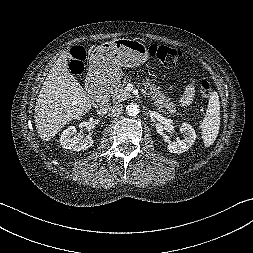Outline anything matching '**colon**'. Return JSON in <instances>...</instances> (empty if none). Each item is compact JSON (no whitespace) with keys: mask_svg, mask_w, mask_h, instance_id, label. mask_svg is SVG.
I'll use <instances>...</instances> for the list:
<instances>
[{"mask_svg":"<svg viewBox=\"0 0 253 253\" xmlns=\"http://www.w3.org/2000/svg\"><path fill=\"white\" fill-rule=\"evenodd\" d=\"M86 55L87 53L84 47L77 45L72 48L69 68L73 74L80 75L83 73ZM149 55L157 59L163 65L172 67L178 64L182 53L180 50L169 46L152 44L149 47ZM199 93L203 98L210 97L212 94V87L208 81L202 80L200 82Z\"/></svg>","mask_w":253,"mask_h":253,"instance_id":"5ec220e1","label":"colon"}]
</instances>
